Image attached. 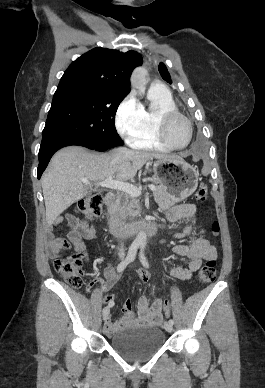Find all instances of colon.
<instances>
[{"instance_id":"colon-1","label":"colon","mask_w":265,"mask_h":388,"mask_svg":"<svg viewBox=\"0 0 265 388\" xmlns=\"http://www.w3.org/2000/svg\"><path fill=\"white\" fill-rule=\"evenodd\" d=\"M198 200L203 201L207 197V186L201 183L196 191ZM103 197L101 195H93L79 201L77 211L86 218H96L102 212ZM212 231L216 234L219 231V224L215 221L212 224ZM83 254L78 252L68 257H57L54 260L55 270L64 278L66 283L73 288H80L83 285V271L81 259ZM216 276V261L214 259L207 260L198 272V281L201 284L212 282ZM163 312L166 317L171 315L170 304L166 300H162Z\"/></svg>"}]
</instances>
